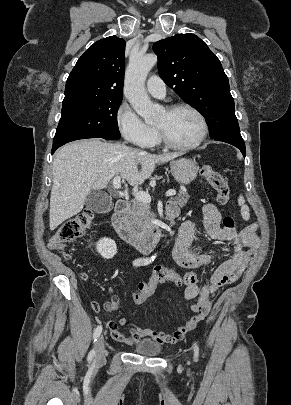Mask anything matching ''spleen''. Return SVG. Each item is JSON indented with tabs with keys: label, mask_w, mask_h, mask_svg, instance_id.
<instances>
[{
	"label": "spleen",
	"mask_w": 291,
	"mask_h": 405,
	"mask_svg": "<svg viewBox=\"0 0 291 405\" xmlns=\"http://www.w3.org/2000/svg\"><path fill=\"white\" fill-rule=\"evenodd\" d=\"M238 204L241 206V214H242L243 218L248 219V217H249V209L245 205V200H244V197L242 195H240L239 198H238Z\"/></svg>",
	"instance_id": "3e777b00"
}]
</instances>
